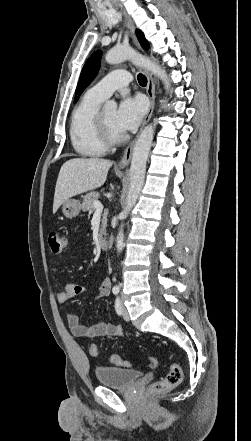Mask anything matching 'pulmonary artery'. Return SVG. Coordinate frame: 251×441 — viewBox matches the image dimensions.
<instances>
[{"instance_id": "1", "label": "pulmonary artery", "mask_w": 251, "mask_h": 441, "mask_svg": "<svg viewBox=\"0 0 251 441\" xmlns=\"http://www.w3.org/2000/svg\"><path fill=\"white\" fill-rule=\"evenodd\" d=\"M132 81V76L125 70H115L98 81L91 89L103 98L114 91L125 88Z\"/></svg>"}]
</instances>
